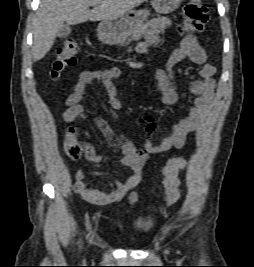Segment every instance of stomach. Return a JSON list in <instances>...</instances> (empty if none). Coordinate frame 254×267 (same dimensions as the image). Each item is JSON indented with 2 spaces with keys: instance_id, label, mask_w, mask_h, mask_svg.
Returning a JSON list of instances; mask_svg holds the SVG:
<instances>
[{
  "instance_id": "0dacf381",
  "label": "stomach",
  "mask_w": 254,
  "mask_h": 267,
  "mask_svg": "<svg viewBox=\"0 0 254 267\" xmlns=\"http://www.w3.org/2000/svg\"><path fill=\"white\" fill-rule=\"evenodd\" d=\"M183 0H152L151 5L159 14H169L176 10ZM149 11L132 10L120 17L102 20L98 25L99 39L108 44L124 42L143 22Z\"/></svg>"
}]
</instances>
